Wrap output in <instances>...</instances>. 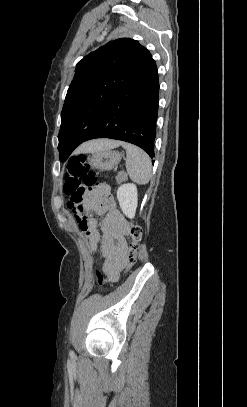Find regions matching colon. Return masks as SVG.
<instances>
[{
	"mask_svg": "<svg viewBox=\"0 0 247 407\" xmlns=\"http://www.w3.org/2000/svg\"><path fill=\"white\" fill-rule=\"evenodd\" d=\"M98 185L95 173L86 163L84 155L72 157L65 169L64 192L69 196L74 204L82 202L86 189H91ZM127 231L131 236L132 242L128 247L127 262L125 270L129 271L136 262L138 244L141 239V227L131 221L127 222ZM96 278L99 285L109 283L100 271H96Z\"/></svg>",
	"mask_w": 247,
	"mask_h": 407,
	"instance_id": "obj_1",
	"label": "colon"
}]
</instances>
